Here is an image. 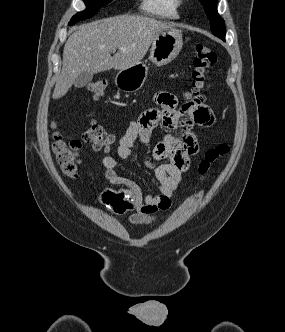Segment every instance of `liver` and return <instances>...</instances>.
<instances>
[{
    "mask_svg": "<svg viewBox=\"0 0 285 332\" xmlns=\"http://www.w3.org/2000/svg\"><path fill=\"white\" fill-rule=\"evenodd\" d=\"M170 28V23L131 15L74 27L64 46L62 71L52 98L63 97L83 72L125 70L139 64L156 37ZM116 49L119 51L112 57L111 52Z\"/></svg>",
    "mask_w": 285,
    "mask_h": 332,
    "instance_id": "6515ba94",
    "label": "liver"
}]
</instances>
